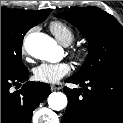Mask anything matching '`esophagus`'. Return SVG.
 I'll use <instances>...</instances> for the list:
<instances>
[{
    "label": "esophagus",
    "mask_w": 123,
    "mask_h": 123,
    "mask_svg": "<svg viewBox=\"0 0 123 123\" xmlns=\"http://www.w3.org/2000/svg\"><path fill=\"white\" fill-rule=\"evenodd\" d=\"M59 89H60V87H58V86L50 85V90H51V91H57V90H59Z\"/></svg>",
    "instance_id": "esophagus-1"
}]
</instances>
